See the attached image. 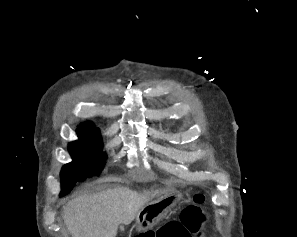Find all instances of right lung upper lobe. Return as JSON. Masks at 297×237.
<instances>
[{"label": "right lung upper lobe", "instance_id": "right-lung-upper-lobe-1", "mask_svg": "<svg viewBox=\"0 0 297 237\" xmlns=\"http://www.w3.org/2000/svg\"><path fill=\"white\" fill-rule=\"evenodd\" d=\"M80 128L77 129L78 133L86 134V135H95L99 133V129L94 127L92 123H86L79 126Z\"/></svg>", "mask_w": 297, "mask_h": 237}]
</instances>
